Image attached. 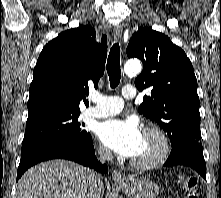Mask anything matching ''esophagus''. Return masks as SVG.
Returning <instances> with one entry per match:
<instances>
[{"mask_svg": "<svg viewBox=\"0 0 221 198\" xmlns=\"http://www.w3.org/2000/svg\"><path fill=\"white\" fill-rule=\"evenodd\" d=\"M113 35L116 41H121L122 38V28L120 26H115L113 29ZM112 179L115 182H123L124 177L121 170L115 169L112 172Z\"/></svg>", "mask_w": 221, "mask_h": 198, "instance_id": "esophagus-1", "label": "esophagus"}]
</instances>
